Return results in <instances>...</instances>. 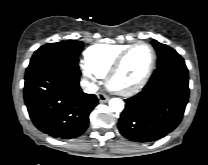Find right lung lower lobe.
Segmentation results:
<instances>
[{"instance_id": "98d812e1", "label": "right lung lower lobe", "mask_w": 208, "mask_h": 165, "mask_svg": "<svg viewBox=\"0 0 208 165\" xmlns=\"http://www.w3.org/2000/svg\"><path fill=\"white\" fill-rule=\"evenodd\" d=\"M78 64L50 58L28 66L24 100L33 124L55 138H74L88 126L98 104L94 94L82 92Z\"/></svg>"}]
</instances>
